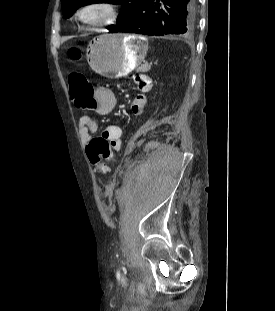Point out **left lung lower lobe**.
<instances>
[{"instance_id":"0a47b994","label":"left lung lower lobe","mask_w":275,"mask_h":311,"mask_svg":"<svg viewBox=\"0 0 275 311\" xmlns=\"http://www.w3.org/2000/svg\"><path fill=\"white\" fill-rule=\"evenodd\" d=\"M196 0H143L136 18L111 32L150 36L188 35L195 28Z\"/></svg>"}]
</instances>
